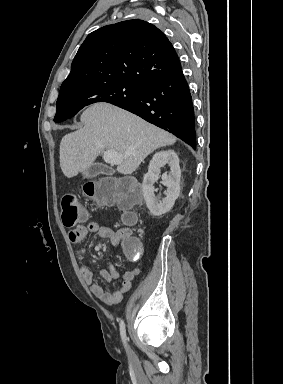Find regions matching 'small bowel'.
Returning <instances> with one entry per match:
<instances>
[{"label": "small bowel", "instance_id": "small-bowel-1", "mask_svg": "<svg viewBox=\"0 0 283 384\" xmlns=\"http://www.w3.org/2000/svg\"><path fill=\"white\" fill-rule=\"evenodd\" d=\"M97 234L101 238L111 239L115 244L118 242L119 237L107 225L99 222H89L88 224L78 225L69 232V239L73 243L82 242L88 234ZM140 273V269L132 268L126 270L122 274V283L113 292H106L101 285L94 281V276L91 270L86 266H81V274L84 281L89 285L90 290L94 296L100 299L107 305H115L121 302L125 294L130 290L133 279ZM120 276L118 269L109 265L107 268H102L99 271V277L106 282H113Z\"/></svg>", "mask_w": 283, "mask_h": 384}]
</instances>
